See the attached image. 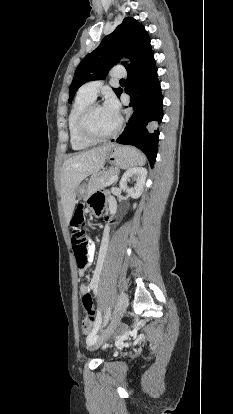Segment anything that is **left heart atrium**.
Here are the masks:
<instances>
[{
  "label": "left heart atrium",
  "mask_w": 233,
  "mask_h": 414,
  "mask_svg": "<svg viewBox=\"0 0 233 414\" xmlns=\"http://www.w3.org/2000/svg\"><path fill=\"white\" fill-rule=\"evenodd\" d=\"M105 109H107L110 113H112L115 116H119V104L117 102V100L114 97H109L105 104H104Z\"/></svg>",
  "instance_id": "left-heart-atrium-1"
}]
</instances>
